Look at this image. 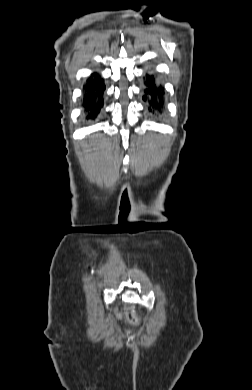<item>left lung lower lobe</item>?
Masks as SVG:
<instances>
[{
  "label": "left lung lower lobe",
  "instance_id": "0a47b994",
  "mask_svg": "<svg viewBox=\"0 0 252 390\" xmlns=\"http://www.w3.org/2000/svg\"><path fill=\"white\" fill-rule=\"evenodd\" d=\"M164 94V88L157 79V76L146 73L144 76L143 100L147 103V108L150 113H162Z\"/></svg>",
  "mask_w": 252,
  "mask_h": 390
}]
</instances>
